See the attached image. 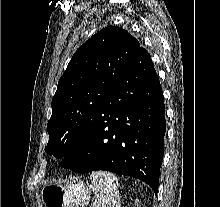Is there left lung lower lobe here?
<instances>
[{
    "instance_id": "1",
    "label": "left lung lower lobe",
    "mask_w": 220,
    "mask_h": 207,
    "mask_svg": "<svg viewBox=\"0 0 220 207\" xmlns=\"http://www.w3.org/2000/svg\"><path fill=\"white\" fill-rule=\"evenodd\" d=\"M163 92L151 57L140 46L110 91L88 134L60 166L106 170L140 179L157 194L166 131Z\"/></svg>"
}]
</instances>
